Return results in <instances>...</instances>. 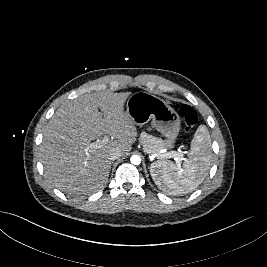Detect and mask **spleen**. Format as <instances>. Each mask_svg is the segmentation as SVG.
<instances>
[{
  "label": "spleen",
  "instance_id": "spleen-1",
  "mask_svg": "<svg viewBox=\"0 0 267 267\" xmlns=\"http://www.w3.org/2000/svg\"><path fill=\"white\" fill-rule=\"evenodd\" d=\"M212 157L211 138L207 127L200 125L192 139L188 158L182 167L171 161H157L150 167L155 184L172 195L188 193L205 179Z\"/></svg>",
  "mask_w": 267,
  "mask_h": 267
}]
</instances>
